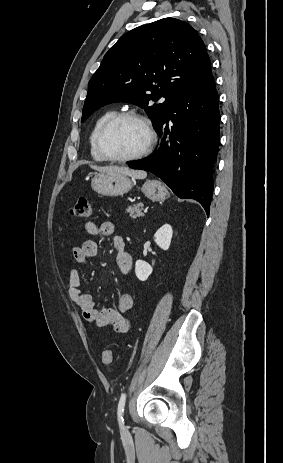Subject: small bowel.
<instances>
[{"label": "small bowel", "instance_id": "c3829d8e", "mask_svg": "<svg viewBox=\"0 0 283 463\" xmlns=\"http://www.w3.org/2000/svg\"><path fill=\"white\" fill-rule=\"evenodd\" d=\"M85 230L93 236H108L112 238L114 248L116 249V263L119 272L127 275L132 267V258L125 250V242L122 236L116 233L113 223L104 222L100 226L94 221H88L85 224ZM98 245L93 240H87L81 246L72 249V256L79 265L96 256ZM81 276L78 269H71L68 275L67 292L70 299L79 307L84 320L98 327H107L112 331L125 333L130 329V320L126 313L133 307L134 300L131 294H123L115 307H106L98 309L95 306L92 297L84 293L81 288Z\"/></svg>", "mask_w": 283, "mask_h": 463}]
</instances>
